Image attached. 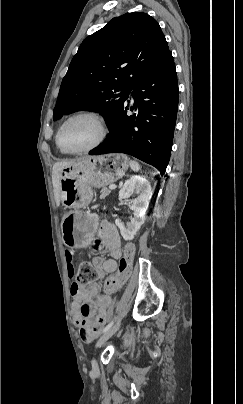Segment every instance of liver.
Masks as SVG:
<instances>
[{
  "mask_svg": "<svg viewBox=\"0 0 243 404\" xmlns=\"http://www.w3.org/2000/svg\"><path fill=\"white\" fill-rule=\"evenodd\" d=\"M80 160H82V158H78L76 162H56V164H54L52 170V184L56 206H60V200H61V192L59 184L61 170H63V168H66V166H76V164H78Z\"/></svg>",
  "mask_w": 243,
  "mask_h": 404,
  "instance_id": "1",
  "label": "liver"
}]
</instances>
